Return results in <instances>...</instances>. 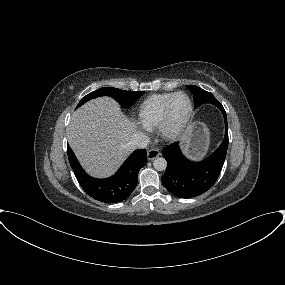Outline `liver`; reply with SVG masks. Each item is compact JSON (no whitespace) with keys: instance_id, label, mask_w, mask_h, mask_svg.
Masks as SVG:
<instances>
[{"instance_id":"1","label":"liver","mask_w":285,"mask_h":285,"mask_svg":"<svg viewBox=\"0 0 285 285\" xmlns=\"http://www.w3.org/2000/svg\"><path fill=\"white\" fill-rule=\"evenodd\" d=\"M136 126L109 97L88 101L71 116L67 129L70 147L87 173L106 178L131 153Z\"/></svg>"}]
</instances>
